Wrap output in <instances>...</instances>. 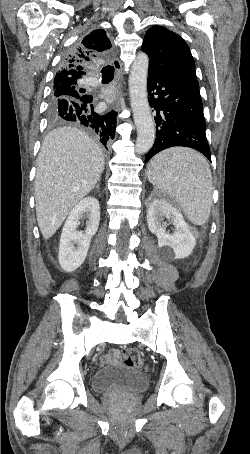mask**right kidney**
<instances>
[{
  "instance_id": "right-kidney-1",
  "label": "right kidney",
  "mask_w": 250,
  "mask_h": 454,
  "mask_svg": "<svg viewBox=\"0 0 250 454\" xmlns=\"http://www.w3.org/2000/svg\"><path fill=\"white\" fill-rule=\"evenodd\" d=\"M88 217L85 232L77 231L79 219ZM100 221L99 202L88 196L78 202L71 210L62 230L59 245V263L66 272L75 271L84 262L90 241L97 232ZM77 244L75 247L74 245Z\"/></svg>"
}]
</instances>
